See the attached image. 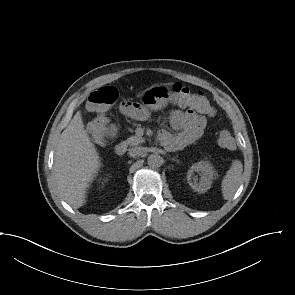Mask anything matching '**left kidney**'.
<instances>
[{
    "label": "left kidney",
    "instance_id": "1",
    "mask_svg": "<svg viewBox=\"0 0 295 295\" xmlns=\"http://www.w3.org/2000/svg\"><path fill=\"white\" fill-rule=\"evenodd\" d=\"M200 174L201 178L198 179L194 176V173ZM216 177L212 165L207 161H200L190 167L187 172V181L189 185L198 193H205L211 188L213 179Z\"/></svg>",
    "mask_w": 295,
    "mask_h": 295
}]
</instances>
